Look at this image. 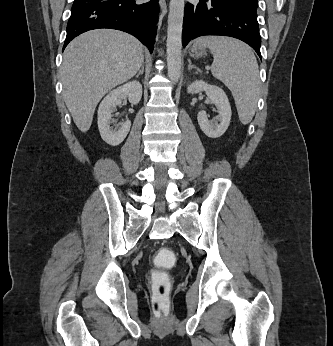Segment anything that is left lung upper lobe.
<instances>
[{
    "mask_svg": "<svg viewBox=\"0 0 333 346\" xmlns=\"http://www.w3.org/2000/svg\"><path fill=\"white\" fill-rule=\"evenodd\" d=\"M229 1H231L235 6L245 8L257 14V6H258L257 0H229Z\"/></svg>",
    "mask_w": 333,
    "mask_h": 346,
    "instance_id": "left-lung-upper-lobe-1",
    "label": "left lung upper lobe"
}]
</instances>
